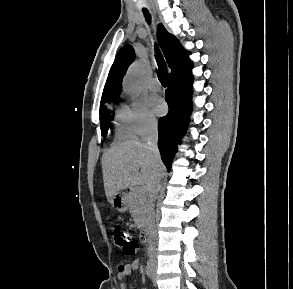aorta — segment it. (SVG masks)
<instances>
[{
    "label": "aorta",
    "instance_id": "762f6f07",
    "mask_svg": "<svg viewBox=\"0 0 293 289\" xmlns=\"http://www.w3.org/2000/svg\"><path fill=\"white\" fill-rule=\"evenodd\" d=\"M144 66L142 63L137 62L132 64L123 80V86L125 90L131 93L133 96H138L142 88V75Z\"/></svg>",
    "mask_w": 293,
    "mask_h": 289
}]
</instances>
